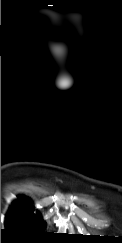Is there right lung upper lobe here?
Segmentation results:
<instances>
[{
    "instance_id": "1",
    "label": "right lung upper lobe",
    "mask_w": 122,
    "mask_h": 243,
    "mask_svg": "<svg viewBox=\"0 0 122 243\" xmlns=\"http://www.w3.org/2000/svg\"><path fill=\"white\" fill-rule=\"evenodd\" d=\"M20 201H22V203H21V204H24V205H27V206H31L30 201H29V200H27V199L20 198Z\"/></svg>"
}]
</instances>
